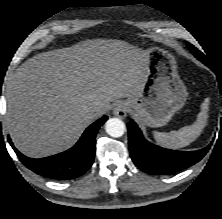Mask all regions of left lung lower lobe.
<instances>
[{
    "instance_id": "1",
    "label": "left lung lower lobe",
    "mask_w": 222,
    "mask_h": 219,
    "mask_svg": "<svg viewBox=\"0 0 222 219\" xmlns=\"http://www.w3.org/2000/svg\"><path fill=\"white\" fill-rule=\"evenodd\" d=\"M193 54L198 60L210 67L203 53L194 51ZM127 127L131 158L140 170L149 174L165 175L188 168L201 160L211 146L208 145L192 152L169 150L148 142L133 120L127 124Z\"/></svg>"
}]
</instances>
